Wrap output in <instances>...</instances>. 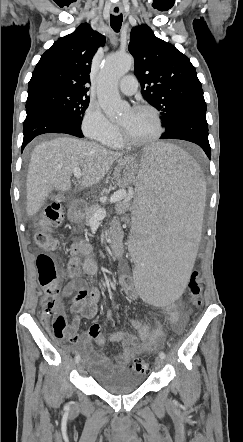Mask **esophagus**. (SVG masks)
I'll use <instances>...</instances> for the list:
<instances>
[{
	"label": "esophagus",
	"mask_w": 243,
	"mask_h": 442,
	"mask_svg": "<svg viewBox=\"0 0 243 442\" xmlns=\"http://www.w3.org/2000/svg\"><path fill=\"white\" fill-rule=\"evenodd\" d=\"M122 7L120 6V5H114L113 7H112V13L114 14V15H119L121 12H122Z\"/></svg>",
	"instance_id": "1"
}]
</instances>
